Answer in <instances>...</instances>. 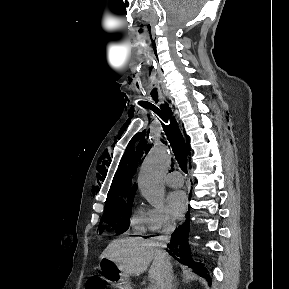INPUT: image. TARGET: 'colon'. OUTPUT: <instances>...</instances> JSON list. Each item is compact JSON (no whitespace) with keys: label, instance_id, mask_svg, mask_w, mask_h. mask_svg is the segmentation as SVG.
<instances>
[{"label":"colon","instance_id":"colon-1","mask_svg":"<svg viewBox=\"0 0 289 289\" xmlns=\"http://www.w3.org/2000/svg\"><path fill=\"white\" fill-rule=\"evenodd\" d=\"M86 289H109V286L100 277H92L88 280Z\"/></svg>","mask_w":289,"mask_h":289}]
</instances>
